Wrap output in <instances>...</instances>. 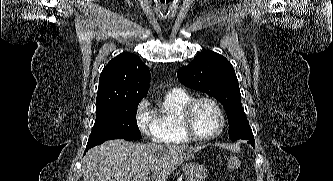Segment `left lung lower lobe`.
I'll list each match as a JSON object with an SVG mask.
<instances>
[{"label": "left lung lower lobe", "mask_w": 333, "mask_h": 181, "mask_svg": "<svg viewBox=\"0 0 333 181\" xmlns=\"http://www.w3.org/2000/svg\"><path fill=\"white\" fill-rule=\"evenodd\" d=\"M241 139H245V138H241ZM245 140H247V139H245ZM248 143L252 144V146H253V144H254V142H248Z\"/></svg>", "instance_id": "1"}]
</instances>
